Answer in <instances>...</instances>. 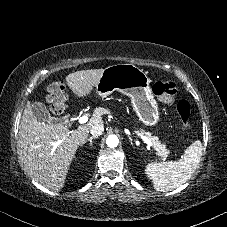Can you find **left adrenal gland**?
<instances>
[{"mask_svg":"<svg viewBox=\"0 0 227 227\" xmlns=\"http://www.w3.org/2000/svg\"><path fill=\"white\" fill-rule=\"evenodd\" d=\"M129 139H130L131 144L133 145L132 138L130 136H129Z\"/></svg>","mask_w":227,"mask_h":227,"instance_id":"obj_1","label":"left adrenal gland"}]
</instances>
